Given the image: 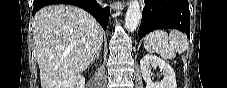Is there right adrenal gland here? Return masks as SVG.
I'll use <instances>...</instances> for the list:
<instances>
[{
  "instance_id": "obj_1",
  "label": "right adrenal gland",
  "mask_w": 227,
  "mask_h": 88,
  "mask_svg": "<svg viewBox=\"0 0 227 88\" xmlns=\"http://www.w3.org/2000/svg\"><path fill=\"white\" fill-rule=\"evenodd\" d=\"M100 50H101V49H99V50L96 52V54H95V56L93 57L91 63H94L95 59H97V60L99 59V57H100Z\"/></svg>"
}]
</instances>
